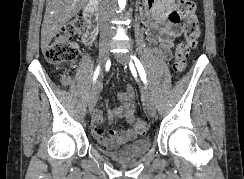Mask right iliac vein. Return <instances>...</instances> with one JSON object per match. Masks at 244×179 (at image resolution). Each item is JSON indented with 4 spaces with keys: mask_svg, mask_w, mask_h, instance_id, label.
<instances>
[{
    "mask_svg": "<svg viewBox=\"0 0 244 179\" xmlns=\"http://www.w3.org/2000/svg\"><path fill=\"white\" fill-rule=\"evenodd\" d=\"M108 49H109V43L106 42L103 46H101L99 50V59L102 65L108 60ZM100 83H101V76H99L97 80H95L94 86L89 94L88 106L90 109H93L97 103Z\"/></svg>",
    "mask_w": 244,
    "mask_h": 179,
    "instance_id": "right-iliac-vein-1",
    "label": "right iliac vein"
}]
</instances>
